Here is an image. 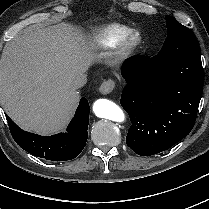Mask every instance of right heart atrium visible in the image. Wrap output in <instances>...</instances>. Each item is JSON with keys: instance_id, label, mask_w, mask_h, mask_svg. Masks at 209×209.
<instances>
[{"instance_id": "d8ad5b80", "label": "right heart atrium", "mask_w": 209, "mask_h": 209, "mask_svg": "<svg viewBox=\"0 0 209 209\" xmlns=\"http://www.w3.org/2000/svg\"><path fill=\"white\" fill-rule=\"evenodd\" d=\"M76 76H77V71L74 69H70L67 72L65 80L67 83H71L76 78Z\"/></svg>"}]
</instances>
